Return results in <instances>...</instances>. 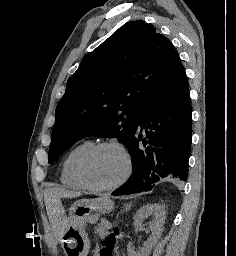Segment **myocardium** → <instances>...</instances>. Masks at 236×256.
Segmentation results:
<instances>
[{
    "instance_id": "f54148a6",
    "label": "myocardium",
    "mask_w": 236,
    "mask_h": 256,
    "mask_svg": "<svg viewBox=\"0 0 236 256\" xmlns=\"http://www.w3.org/2000/svg\"><path fill=\"white\" fill-rule=\"evenodd\" d=\"M113 147L118 149L125 160V170L120 180L108 187H96L90 183L87 177V164L90 158L103 148ZM133 171V160L130 151L125 145L116 140H107L94 144L80 159L78 164V176L82 185L89 191L98 194L111 193L121 188L131 177Z\"/></svg>"
}]
</instances>
